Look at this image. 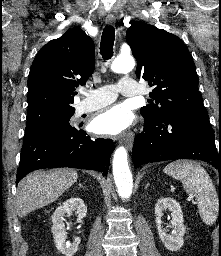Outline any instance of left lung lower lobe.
I'll return each instance as SVG.
<instances>
[{
	"instance_id": "1",
	"label": "left lung lower lobe",
	"mask_w": 221,
	"mask_h": 256,
	"mask_svg": "<svg viewBox=\"0 0 221 256\" xmlns=\"http://www.w3.org/2000/svg\"><path fill=\"white\" fill-rule=\"evenodd\" d=\"M133 145L134 167L174 159H198L212 164L221 174V150L207 113L173 112L162 121L144 120Z\"/></svg>"
}]
</instances>
